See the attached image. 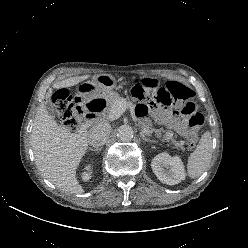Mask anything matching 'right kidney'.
Listing matches in <instances>:
<instances>
[{"instance_id":"ca27d5eb","label":"right kidney","mask_w":248,"mask_h":248,"mask_svg":"<svg viewBox=\"0 0 248 248\" xmlns=\"http://www.w3.org/2000/svg\"><path fill=\"white\" fill-rule=\"evenodd\" d=\"M85 170L86 171L82 173V180L87 181L91 178V166L90 165L86 166Z\"/></svg>"}]
</instances>
